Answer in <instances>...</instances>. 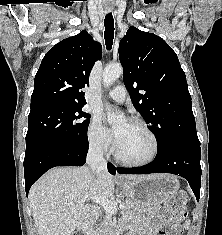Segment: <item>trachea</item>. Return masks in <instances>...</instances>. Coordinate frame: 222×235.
<instances>
[{"mask_svg":"<svg viewBox=\"0 0 222 235\" xmlns=\"http://www.w3.org/2000/svg\"><path fill=\"white\" fill-rule=\"evenodd\" d=\"M105 31H104V39L107 50H111L114 39V19L111 12L105 15L104 21Z\"/></svg>","mask_w":222,"mask_h":235,"instance_id":"trachea-1","label":"trachea"}]
</instances>
